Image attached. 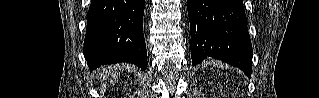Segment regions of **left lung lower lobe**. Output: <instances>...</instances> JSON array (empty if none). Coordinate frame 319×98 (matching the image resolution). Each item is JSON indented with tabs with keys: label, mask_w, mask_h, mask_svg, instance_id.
Instances as JSON below:
<instances>
[{
	"label": "left lung lower lobe",
	"mask_w": 319,
	"mask_h": 98,
	"mask_svg": "<svg viewBox=\"0 0 319 98\" xmlns=\"http://www.w3.org/2000/svg\"><path fill=\"white\" fill-rule=\"evenodd\" d=\"M192 64L207 56L251 78L252 46L242 0H187Z\"/></svg>",
	"instance_id": "1"
}]
</instances>
